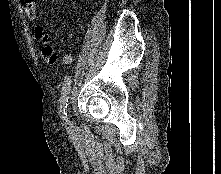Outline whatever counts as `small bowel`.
<instances>
[{
  "mask_svg": "<svg viewBox=\"0 0 221 174\" xmlns=\"http://www.w3.org/2000/svg\"><path fill=\"white\" fill-rule=\"evenodd\" d=\"M24 5V11L27 18L31 21H36L38 19L36 0H22ZM36 36L41 40L43 44L42 56L46 63L53 64L58 59V54L54 52L53 46L50 42L49 36L45 33L42 26H36L35 28ZM60 58L63 63L70 64L72 62L71 55L67 53H61Z\"/></svg>",
  "mask_w": 221,
  "mask_h": 174,
  "instance_id": "obj_1",
  "label": "small bowel"
}]
</instances>
